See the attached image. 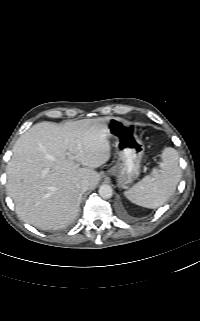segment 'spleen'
<instances>
[{
	"mask_svg": "<svg viewBox=\"0 0 200 321\" xmlns=\"http://www.w3.org/2000/svg\"><path fill=\"white\" fill-rule=\"evenodd\" d=\"M159 168L124 192L132 203L150 209L162 206L175 192L181 178L178 152L172 147H164Z\"/></svg>",
	"mask_w": 200,
	"mask_h": 321,
	"instance_id": "1",
	"label": "spleen"
}]
</instances>
